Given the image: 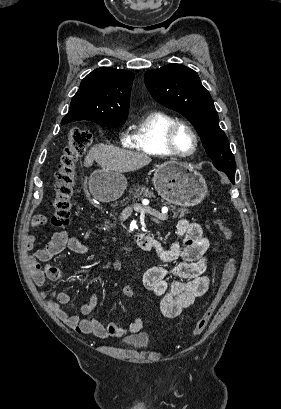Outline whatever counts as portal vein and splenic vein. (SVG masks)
Listing matches in <instances>:
<instances>
[{
	"label": "portal vein and splenic vein",
	"mask_w": 281,
	"mask_h": 409,
	"mask_svg": "<svg viewBox=\"0 0 281 409\" xmlns=\"http://www.w3.org/2000/svg\"><path fill=\"white\" fill-rule=\"evenodd\" d=\"M134 210L139 211L143 217H153L154 219H161L164 221V217L166 218L167 215H162V211L158 209L157 206H145L144 203H134L132 205Z\"/></svg>",
	"instance_id": "18ae733b"
}]
</instances>
